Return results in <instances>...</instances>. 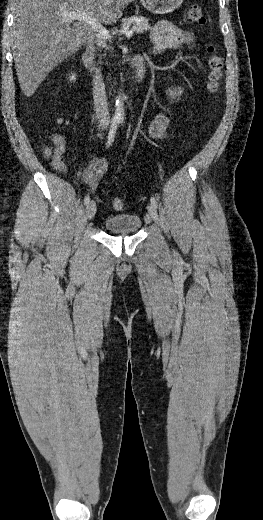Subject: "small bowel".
Here are the masks:
<instances>
[{
  "label": "small bowel",
  "instance_id": "c3829d8e",
  "mask_svg": "<svg viewBox=\"0 0 263 520\" xmlns=\"http://www.w3.org/2000/svg\"><path fill=\"white\" fill-rule=\"evenodd\" d=\"M151 40L154 52H161L168 48H179L183 45L192 46L194 44V37L190 32L182 31L168 21H160L154 26L151 32ZM170 93L173 96H178L180 88H174ZM169 125L170 118L165 114H158L149 124L148 133L152 138L162 140L166 136ZM53 142L55 149L52 166L56 171L65 173L66 166L62 158L69 149L61 135H56ZM106 169L107 161L104 158H95L79 175V179L85 183L90 190H94L106 172Z\"/></svg>",
  "mask_w": 263,
  "mask_h": 520
}]
</instances>
